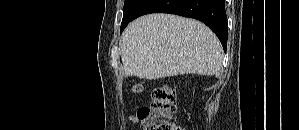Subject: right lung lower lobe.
<instances>
[{
  "mask_svg": "<svg viewBox=\"0 0 299 130\" xmlns=\"http://www.w3.org/2000/svg\"><path fill=\"white\" fill-rule=\"evenodd\" d=\"M148 13H170L205 23L227 47V16L224 0H147L133 19Z\"/></svg>",
  "mask_w": 299,
  "mask_h": 130,
  "instance_id": "obj_1",
  "label": "right lung lower lobe"
}]
</instances>
